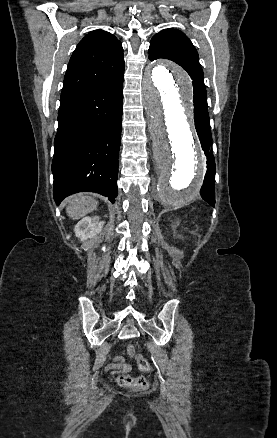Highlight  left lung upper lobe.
<instances>
[{
  "mask_svg": "<svg viewBox=\"0 0 277 438\" xmlns=\"http://www.w3.org/2000/svg\"><path fill=\"white\" fill-rule=\"evenodd\" d=\"M148 53L151 61L165 58L185 69L193 80L194 111L208 113L203 71L198 53L188 37L179 30L161 31L151 39Z\"/></svg>",
  "mask_w": 277,
  "mask_h": 438,
  "instance_id": "5c2ea615",
  "label": "left lung upper lobe"
}]
</instances>
